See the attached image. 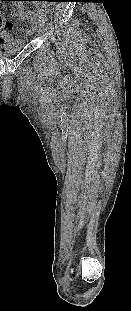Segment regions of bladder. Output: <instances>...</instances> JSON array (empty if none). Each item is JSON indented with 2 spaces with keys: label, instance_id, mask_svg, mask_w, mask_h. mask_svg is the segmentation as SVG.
I'll return each mask as SVG.
<instances>
[{
  "label": "bladder",
  "instance_id": "obj_1",
  "mask_svg": "<svg viewBox=\"0 0 131 311\" xmlns=\"http://www.w3.org/2000/svg\"><path fill=\"white\" fill-rule=\"evenodd\" d=\"M26 44V41L17 38H12L9 41H0V58H8L18 53Z\"/></svg>",
  "mask_w": 131,
  "mask_h": 311
}]
</instances>
